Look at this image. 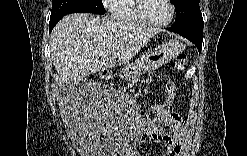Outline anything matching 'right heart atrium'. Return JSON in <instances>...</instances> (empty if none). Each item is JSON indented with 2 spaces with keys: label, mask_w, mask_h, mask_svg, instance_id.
Returning a JSON list of instances; mask_svg holds the SVG:
<instances>
[{
  "label": "right heart atrium",
  "mask_w": 247,
  "mask_h": 156,
  "mask_svg": "<svg viewBox=\"0 0 247 156\" xmlns=\"http://www.w3.org/2000/svg\"><path fill=\"white\" fill-rule=\"evenodd\" d=\"M115 3H116V1H113V0L104 1V5L108 6V7H112Z\"/></svg>",
  "instance_id": "obj_1"
}]
</instances>
